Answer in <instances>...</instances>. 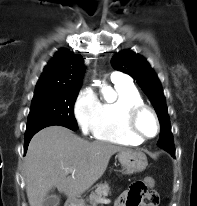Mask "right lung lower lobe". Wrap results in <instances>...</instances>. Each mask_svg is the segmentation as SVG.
Returning <instances> with one entry per match:
<instances>
[{"instance_id": "right-lung-lower-lobe-1", "label": "right lung lower lobe", "mask_w": 197, "mask_h": 206, "mask_svg": "<svg viewBox=\"0 0 197 206\" xmlns=\"http://www.w3.org/2000/svg\"><path fill=\"white\" fill-rule=\"evenodd\" d=\"M33 136H34V134L25 137L24 154L26 153L27 147H28V145H29V142H30V140H31V138H32Z\"/></svg>"}]
</instances>
